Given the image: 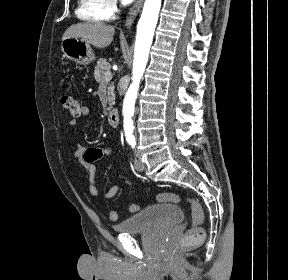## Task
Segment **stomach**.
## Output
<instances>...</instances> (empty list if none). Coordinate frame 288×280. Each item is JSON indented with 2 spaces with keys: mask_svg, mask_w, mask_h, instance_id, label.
<instances>
[{
  "mask_svg": "<svg viewBox=\"0 0 288 280\" xmlns=\"http://www.w3.org/2000/svg\"><path fill=\"white\" fill-rule=\"evenodd\" d=\"M61 49L64 55L79 65H88L93 60V51L85 41L77 38L62 40Z\"/></svg>",
  "mask_w": 288,
  "mask_h": 280,
  "instance_id": "obj_1",
  "label": "stomach"
}]
</instances>
